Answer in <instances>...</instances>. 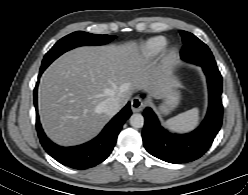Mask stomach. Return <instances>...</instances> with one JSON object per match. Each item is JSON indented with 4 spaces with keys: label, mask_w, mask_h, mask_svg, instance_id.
Segmentation results:
<instances>
[{
    "label": "stomach",
    "mask_w": 248,
    "mask_h": 195,
    "mask_svg": "<svg viewBox=\"0 0 248 195\" xmlns=\"http://www.w3.org/2000/svg\"><path fill=\"white\" fill-rule=\"evenodd\" d=\"M180 84L177 80L172 79L164 89L161 99L162 104L159 106V112L163 115H168L179 104L180 101Z\"/></svg>",
    "instance_id": "0dacf381"
}]
</instances>
